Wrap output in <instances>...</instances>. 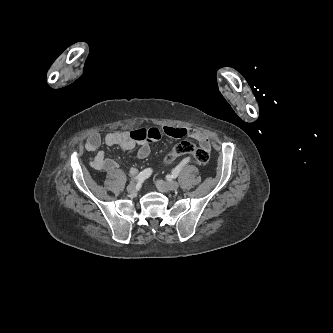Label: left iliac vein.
Masks as SVG:
<instances>
[{"instance_id": "1", "label": "left iliac vein", "mask_w": 333, "mask_h": 333, "mask_svg": "<svg viewBox=\"0 0 333 333\" xmlns=\"http://www.w3.org/2000/svg\"><path fill=\"white\" fill-rule=\"evenodd\" d=\"M156 186L159 191L168 192V191L177 190L179 187V184L176 181L164 182L162 180H158L156 183Z\"/></svg>"}]
</instances>
